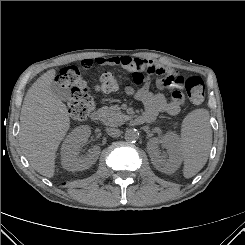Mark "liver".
I'll return each mask as SVG.
<instances>
[{
    "mask_svg": "<svg viewBox=\"0 0 245 245\" xmlns=\"http://www.w3.org/2000/svg\"><path fill=\"white\" fill-rule=\"evenodd\" d=\"M56 71L48 70L28 90L21 109L19 143L31 166L52 178L56 151L70 127L67 107L51 90Z\"/></svg>",
    "mask_w": 245,
    "mask_h": 245,
    "instance_id": "obj_1",
    "label": "liver"
}]
</instances>
